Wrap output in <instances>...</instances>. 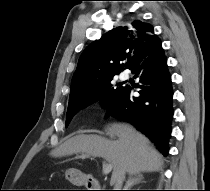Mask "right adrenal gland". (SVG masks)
Returning <instances> with one entry per match:
<instances>
[{
  "mask_svg": "<svg viewBox=\"0 0 210 191\" xmlns=\"http://www.w3.org/2000/svg\"><path fill=\"white\" fill-rule=\"evenodd\" d=\"M142 179H143V174L141 173L129 174L124 190H129L130 187L142 182Z\"/></svg>",
  "mask_w": 210,
  "mask_h": 191,
  "instance_id": "2a0ac1e0",
  "label": "right adrenal gland"
}]
</instances>
